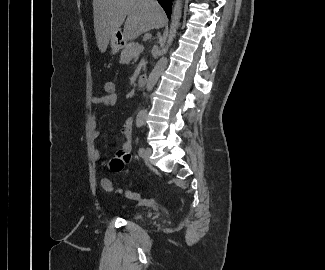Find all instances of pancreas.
Returning <instances> with one entry per match:
<instances>
[{
    "label": "pancreas",
    "instance_id": "pancreas-1",
    "mask_svg": "<svg viewBox=\"0 0 325 270\" xmlns=\"http://www.w3.org/2000/svg\"><path fill=\"white\" fill-rule=\"evenodd\" d=\"M138 48V43L130 42L125 44L124 49L121 52L120 63L128 64L132 59L137 58L140 53Z\"/></svg>",
    "mask_w": 325,
    "mask_h": 270
}]
</instances>
